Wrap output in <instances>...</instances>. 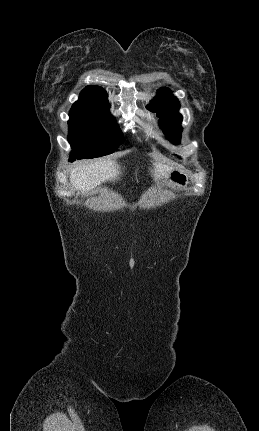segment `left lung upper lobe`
<instances>
[{"label":"left lung upper lobe","mask_w":259,"mask_h":431,"mask_svg":"<svg viewBox=\"0 0 259 431\" xmlns=\"http://www.w3.org/2000/svg\"><path fill=\"white\" fill-rule=\"evenodd\" d=\"M152 112H157L160 117V126L166 137L174 144L180 142L183 117L178 110L180 103L176 97L171 95L167 88H161L157 97L147 106Z\"/></svg>","instance_id":"5c2ea615"}]
</instances>
